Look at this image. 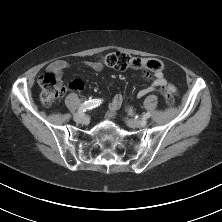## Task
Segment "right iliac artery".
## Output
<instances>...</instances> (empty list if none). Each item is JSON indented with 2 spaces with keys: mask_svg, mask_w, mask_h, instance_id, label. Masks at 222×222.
Returning a JSON list of instances; mask_svg holds the SVG:
<instances>
[{
  "mask_svg": "<svg viewBox=\"0 0 222 222\" xmlns=\"http://www.w3.org/2000/svg\"><path fill=\"white\" fill-rule=\"evenodd\" d=\"M102 103L101 99H90L88 101H85L78 109L79 113L85 112L89 109L95 108L99 106Z\"/></svg>",
  "mask_w": 222,
  "mask_h": 222,
  "instance_id": "right-iliac-artery-1",
  "label": "right iliac artery"
}]
</instances>
